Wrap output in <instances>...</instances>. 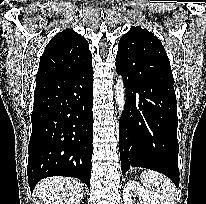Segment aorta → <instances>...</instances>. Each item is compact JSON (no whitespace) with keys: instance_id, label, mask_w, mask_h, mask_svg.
I'll list each match as a JSON object with an SVG mask.
<instances>
[{"instance_id":"762f6f07","label":"aorta","mask_w":206,"mask_h":204,"mask_svg":"<svg viewBox=\"0 0 206 204\" xmlns=\"http://www.w3.org/2000/svg\"><path fill=\"white\" fill-rule=\"evenodd\" d=\"M116 103L118 106L119 113H122L125 109V87L122 76H118L117 83L115 85Z\"/></svg>"}]
</instances>
